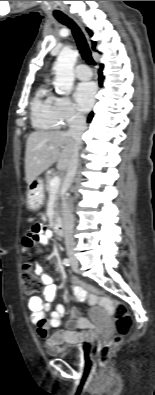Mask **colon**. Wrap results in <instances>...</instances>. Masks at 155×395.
I'll list each match as a JSON object with an SVG mask.
<instances>
[{
	"label": "colon",
	"instance_id": "colon-1",
	"mask_svg": "<svg viewBox=\"0 0 155 395\" xmlns=\"http://www.w3.org/2000/svg\"><path fill=\"white\" fill-rule=\"evenodd\" d=\"M21 280L27 294L38 293L42 288V282L39 280L35 272V263L31 259H26L23 264V272ZM73 285H80L81 288H88L92 294L101 296L103 291L99 287L89 286L88 281H83L82 278H73L70 280ZM89 286V287H88ZM115 313V328L116 335L107 341L102 342L97 349V357L101 364L107 363L114 350L119 346L122 337L127 335L132 327V318L127 308L119 302L112 303Z\"/></svg>",
	"mask_w": 155,
	"mask_h": 395
}]
</instances>
